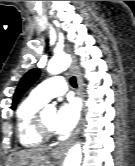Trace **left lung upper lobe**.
I'll return each mask as SVG.
<instances>
[{"label": "left lung upper lobe", "instance_id": "left-lung-upper-lobe-1", "mask_svg": "<svg viewBox=\"0 0 135 166\" xmlns=\"http://www.w3.org/2000/svg\"><path fill=\"white\" fill-rule=\"evenodd\" d=\"M39 75L40 71L38 69H31L23 76L14 94L13 103H12L13 108L16 107L23 93L37 80Z\"/></svg>", "mask_w": 135, "mask_h": 166}]
</instances>
